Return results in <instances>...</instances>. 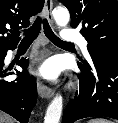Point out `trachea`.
Wrapping results in <instances>:
<instances>
[{"mask_svg":"<svg viewBox=\"0 0 118 123\" xmlns=\"http://www.w3.org/2000/svg\"><path fill=\"white\" fill-rule=\"evenodd\" d=\"M42 23H43L45 35L52 43L56 45H73V43L65 42L61 40L58 36H56L52 31L51 27L49 26L48 21L46 19L42 20L41 18H38L33 24V26H31L29 29L24 31L25 37L22 40V42H33L39 34Z\"/></svg>","mask_w":118,"mask_h":123,"instance_id":"obj_1","label":"trachea"}]
</instances>
